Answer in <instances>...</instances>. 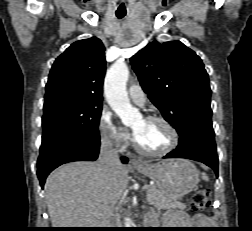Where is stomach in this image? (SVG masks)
<instances>
[{"label": "stomach", "instance_id": "stomach-1", "mask_svg": "<svg viewBox=\"0 0 252 231\" xmlns=\"http://www.w3.org/2000/svg\"><path fill=\"white\" fill-rule=\"evenodd\" d=\"M155 182L164 201H178L191 192L199 182L196 167L184 159H169L136 168Z\"/></svg>", "mask_w": 252, "mask_h": 231}]
</instances>
